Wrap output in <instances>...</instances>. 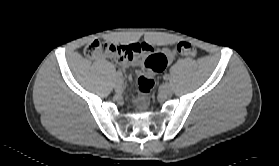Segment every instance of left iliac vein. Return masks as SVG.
I'll list each match as a JSON object with an SVG mask.
<instances>
[{
  "label": "left iliac vein",
  "instance_id": "1",
  "mask_svg": "<svg viewBox=\"0 0 279 166\" xmlns=\"http://www.w3.org/2000/svg\"><path fill=\"white\" fill-rule=\"evenodd\" d=\"M162 92L167 95H171L173 93V88L170 84L166 83L162 86Z\"/></svg>",
  "mask_w": 279,
  "mask_h": 166
}]
</instances>
